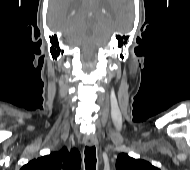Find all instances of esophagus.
Segmentation results:
<instances>
[{"mask_svg": "<svg viewBox=\"0 0 190 170\" xmlns=\"http://www.w3.org/2000/svg\"><path fill=\"white\" fill-rule=\"evenodd\" d=\"M84 142L88 147H92L98 143L96 136H86Z\"/></svg>", "mask_w": 190, "mask_h": 170, "instance_id": "34e87169", "label": "esophagus"}]
</instances>
